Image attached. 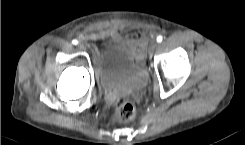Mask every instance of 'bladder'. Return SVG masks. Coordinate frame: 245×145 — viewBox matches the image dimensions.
Wrapping results in <instances>:
<instances>
[{"label":"bladder","instance_id":"31cf9c89","mask_svg":"<svg viewBox=\"0 0 245 145\" xmlns=\"http://www.w3.org/2000/svg\"><path fill=\"white\" fill-rule=\"evenodd\" d=\"M93 65L104 90L114 88L124 94H132L146 86V71L138 47L128 37H107L96 52Z\"/></svg>","mask_w":245,"mask_h":145}]
</instances>
